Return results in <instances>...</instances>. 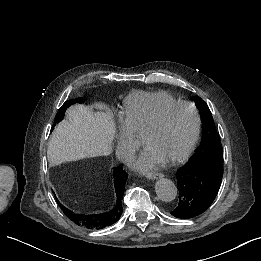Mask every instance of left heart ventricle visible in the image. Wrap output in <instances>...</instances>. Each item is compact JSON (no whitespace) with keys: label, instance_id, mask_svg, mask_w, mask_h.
Returning a JSON list of instances; mask_svg holds the SVG:
<instances>
[{"label":"left heart ventricle","instance_id":"1","mask_svg":"<svg viewBox=\"0 0 261 261\" xmlns=\"http://www.w3.org/2000/svg\"><path fill=\"white\" fill-rule=\"evenodd\" d=\"M194 123L190 110L175 106L137 126L136 137L164 159L182 150L192 134Z\"/></svg>","mask_w":261,"mask_h":261}]
</instances>
